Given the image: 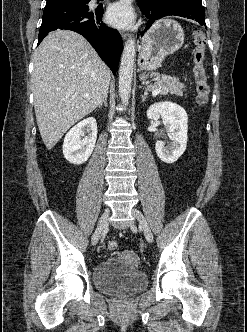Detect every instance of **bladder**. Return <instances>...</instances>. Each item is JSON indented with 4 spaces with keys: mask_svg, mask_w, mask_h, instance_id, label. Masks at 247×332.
<instances>
[{
    "mask_svg": "<svg viewBox=\"0 0 247 332\" xmlns=\"http://www.w3.org/2000/svg\"><path fill=\"white\" fill-rule=\"evenodd\" d=\"M92 278L98 290L118 296L133 295L144 289L148 282L131 251L118 252L99 262L93 269Z\"/></svg>",
    "mask_w": 247,
    "mask_h": 332,
    "instance_id": "1",
    "label": "bladder"
}]
</instances>
